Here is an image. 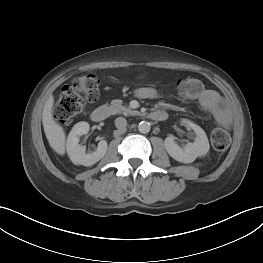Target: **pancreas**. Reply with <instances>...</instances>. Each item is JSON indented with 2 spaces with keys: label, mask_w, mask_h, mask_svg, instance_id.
<instances>
[{
  "label": "pancreas",
  "mask_w": 263,
  "mask_h": 263,
  "mask_svg": "<svg viewBox=\"0 0 263 263\" xmlns=\"http://www.w3.org/2000/svg\"><path fill=\"white\" fill-rule=\"evenodd\" d=\"M122 100H112L109 109L112 114L123 113L124 115H135L138 112L122 105Z\"/></svg>",
  "instance_id": "pancreas-1"
}]
</instances>
